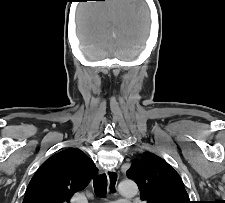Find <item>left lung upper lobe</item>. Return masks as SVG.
Masks as SVG:
<instances>
[{
    "label": "left lung upper lobe",
    "instance_id": "obj_1",
    "mask_svg": "<svg viewBox=\"0 0 225 203\" xmlns=\"http://www.w3.org/2000/svg\"><path fill=\"white\" fill-rule=\"evenodd\" d=\"M147 203H191L178 173L162 158L144 153L127 171Z\"/></svg>",
    "mask_w": 225,
    "mask_h": 203
}]
</instances>
